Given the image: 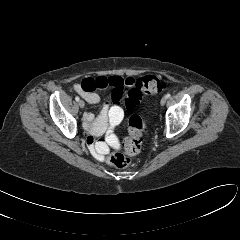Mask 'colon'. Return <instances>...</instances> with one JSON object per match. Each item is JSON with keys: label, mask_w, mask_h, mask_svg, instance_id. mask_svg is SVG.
<instances>
[{"label": "colon", "mask_w": 240, "mask_h": 240, "mask_svg": "<svg viewBox=\"0 0 240 240\" xmlns=\"http://www.w3.org/2000/svg\"><path fill=\"white\" fill-rule=\"evenodd\" d=\"M166 88V82L153 75H147L140 78L129 91L125 100V106L130 113L128 120V136L124 139L123 146L125 153L112 152L107 157V162L115 168H126L130 165L129 156L137 155L141 151L142 136L146 131L144 120L132 111L141 99L143 94H157Z\"/></svg>", "instance_id": "5ec220e1"}]
</instances>
